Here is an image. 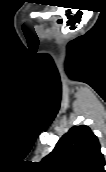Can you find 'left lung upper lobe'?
Returning a JSON list of instances; mask_svg holds the SVG:
<instances>
[{
    "instance_id": "1",
    "label": "left lung upper lobe",
    "mask_w": 106,
    "mask_h": 172,
    "mask_svg": "<svg viewBox=\"0 0 106 172\" xmlns=\"http://www.w3.org/2000/svg\"><path fill=\"white\" fill-rule=\"evenodd\" d=\"M39 167L43 172H106L98 138L86 125L64 134Z\"/></svg>"
}]
</instances>
